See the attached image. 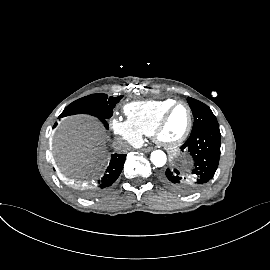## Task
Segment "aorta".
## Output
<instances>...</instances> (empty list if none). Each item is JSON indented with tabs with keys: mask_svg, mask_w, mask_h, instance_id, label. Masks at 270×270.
<instances>
[{
	"mask_svg": "<svg viewBox=\"0 0 270 270\" xmlns=\"http://www.w3.org/2000/svg\"><path fill=\"white\" fill-rule=\"evenodd\" d=\"M150 160L156 167H163L166 164L167 157L162 150H155L151 153Z\"/></svg>",
	"mask_w": 270,
	"mask_h": 270,
	"instance_id": "aorta-1",
	"label": "aorta"
}]
</instances>
